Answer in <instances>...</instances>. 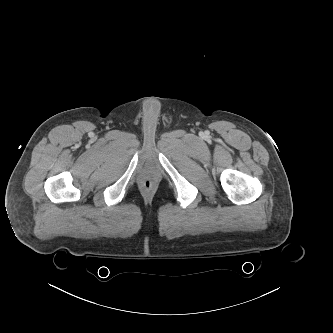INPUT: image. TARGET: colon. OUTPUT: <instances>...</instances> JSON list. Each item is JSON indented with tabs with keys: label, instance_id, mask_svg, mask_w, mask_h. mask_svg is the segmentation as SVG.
<instances>
[{
	"label": "colon",
	"instance_id": "1",
	"mask_svg": "<svg viewBox=\"0 0 333 333\" xmlns=\"http://www.w3.org/2000/svg\"><path fill=\"white\" fill-rule=\"evenodd\" d=\"M143 186L146 189H150L152 187V182L150 180H145L144 183H143Z\"/></svg>",
	"mask_w": 333,
	"mask_h": 333
}]
</instances>
